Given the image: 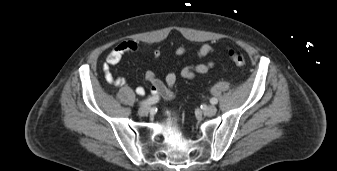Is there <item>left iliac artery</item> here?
<instances>
[{"mask_svg": "<svg viewBox=\"0 0 337 171\" xmlns=\"http://www.w3.org/2000/svg\"><path fill=\"white\" fill-rule=\"evenodd\" d=\"M210 103L211 104H217L218 103V100L216 98H211L210 99Z\"/></svg>", "mask_w": 337, "mask_h": 171, "instance_id": "44dca946", "label": "left iliac artery"}]
</instances>
